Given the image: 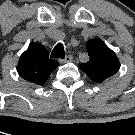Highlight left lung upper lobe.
Here are the masks:
<instances>
[{
    "instance_id": "obj_1",
    "label": "left lung upper lobe",
    "mask_w": 135,
    "mask_h": 135,
    "mask_svg": "<svg viewBox=\"0 0 135 135\" xmlns=\"http://www.w3.org/2000/svg\"><path fill=\"white\" fill-rule=\"evenodd\" d=\"M90 60L79 67L95 82H103L118 72L120 68L116 54L99 39L87 41Z\"/></svg>"
}]
</instances>
